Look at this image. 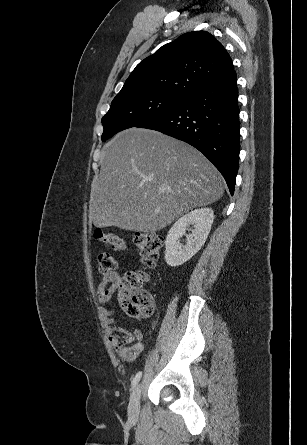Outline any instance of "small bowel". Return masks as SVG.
<instances>
[{
  "mask_svg": "<svg viewBox=\"0 0 307 445\" xmlns=\"http://www.w3.org/2000/svg\"><path fill=\"white\" fill-rule=\"evenodd\" d=\"M121 279L122 278L117 271L104 274L97 287L98 299L100 304L103 305L100 309L103 321L109 326L111 331L109 343L116 350L120 358L132 361L144 349L141 331L138 329L129 331L118 327L114 313L104 307L121 282Z\"/></svg>",
  "mask_w": 307,
  "mask_h": 445,
  "instance_id": "small-bowel-1",
  "label": "small bowel"
}]
</instances>
